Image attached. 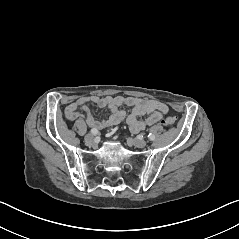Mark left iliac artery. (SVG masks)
<instances>
[{
    "instance_id": "left-iliac-artery-1",
    "label": "left iliac artery",
    "mask_w": 239,
    "mask_h": 239,
    "mask_svg": "<svg viewBox=\"0 0 239 239\" xmlns=\"http://www.w3.org/2000/svg\"><path fill=\"white\" fill-rule=\"evenodd\" d=\"M148 139H149L150 141L155 140V135L152 134V133H149V134H148Z\"/></svg>"
}]
</instances>
